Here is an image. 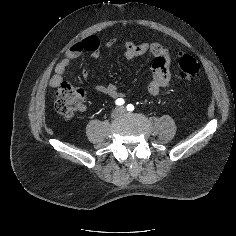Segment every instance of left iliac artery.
<instances>
[{
  "mask_svg": "<svg viewBox=\"0 0 236 236\" xmlns=\"http://www.w3.org/2000/svg\"><path fill=\"white\" fill-rule=\"evenodd\" d=\"M126 108H127L128 111H133L134 110V106L132 104H128L126 106Z\"/></svg>",
  "mask_w": 236,
  "mask_h": 236,
  "instance_id": "1",
  "label": "left iliac artery"
}]
</instances>
